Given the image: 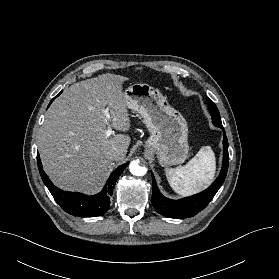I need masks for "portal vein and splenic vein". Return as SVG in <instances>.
<instances>
[{"instance_id": "18ae733b", "label": "portal vein and splenic vein", "mask_w": 279, "mask_h": 279, "mask_svg": "<svg viewBox=\"0 0 279 279\" xmlns=\"http://www.w3.org/2000/svg\"><path fill=\"white\" fill-rule=\"evenodd\" d=\"M103 113L105 115L106 118L110 119V114H109V111L107 109H104L103 110ZM113 133L111 127H108V129L106 130V137H109L111 134Z\"/></svg>"}]
</instances>
